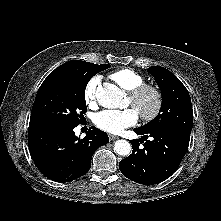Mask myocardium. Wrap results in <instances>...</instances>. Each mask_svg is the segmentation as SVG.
<instances>
[{
  "mask_svg": "<svg viewBox=\"0 0 221 221\" xmlns=\"http://www.w3.org/2000/svg\"><path fill=\"white\" fill-rule=\"evenodd\" d=\"M148 94L152 95L154 98L153 108L149 112L138 113L143 120L152 121L160 115L163 108L164 96L162 90L156 85L144 83L129 91V98L131 100V105L134 107Z\"/></svg>",
  "mask_w": 221,
  "mask_h": 221,
  "instance_id": "myocardium-1",
  "label": "myocardium"
}]
</instances>
